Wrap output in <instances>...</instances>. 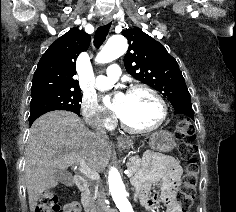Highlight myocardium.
Here are the masks:
<instances>
[{
  "label": "myocardium",
  "instance_id": "f54148a6",
  "mask_svg": "<svg viewBox=\"0 0 236 212\" xmlns=\"http://www.w3.org/2000/svg\"><path fill=\"white\" fill-rule=\"evenodd\" d=\"M138 90H143V91L150 93L158 101L160 108H161V115H160L158 121L156 123H154L152 126L147 127V128H133V127L129 126L121 117H119V123H120L121 127L126 132H129L132 134L150 133V132L157 130L165 122V120L168 116L167 103L164 100V98L162 97V95L156 89L152 88L151 86H149L147 84H143V83H137V84L130 85L126 91V94H129V93H132V92L138 91Z\"/></svg>",
  "mask_w": 236,
  "mask_h": 212
}]
</instances>
